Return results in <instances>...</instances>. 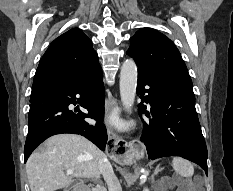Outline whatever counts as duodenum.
Masks as SVG:
<instances>
[{
  "label": "duodenum",
  "instance_id": "410a0bca",
  "mask_svg": "<svg viewBox=\"0 0 233 191\" xmlns=\"http://www.w3.org/2000/svg\"><path fill=\"white\" fill-rule=\"evenodd\" d=\"M73 191H92L90 187L81 185L76 187Z\"/></svg>",
  "mask_w": 233,
  "mask_h": 191
}]
</instances>
